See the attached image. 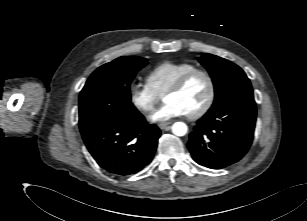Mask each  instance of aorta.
I'll return each mask as SVG.
<instances>
[{
	"mask_svg": "<svg viewBox=\"0 0 307 221\" xmlns=\"http://www.w3.org/2000/svg\"><path fill=\"white\" fill-rule=\"evenodd\" d=\"M187 125L183 122H176L172 125V132L176 136H184L187 133Z\"/></svg>",
	"mask_w": 307,
	"mask_h": 221,
	"instance_id": "obj_1",
	"label": "aorta"
}]
</instances>
